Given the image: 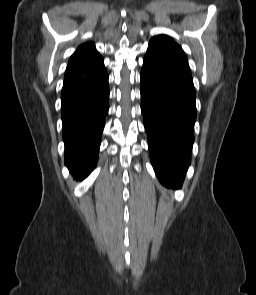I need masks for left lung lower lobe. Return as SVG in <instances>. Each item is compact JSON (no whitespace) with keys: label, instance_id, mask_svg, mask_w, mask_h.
<instances>
[{"label":"left lung lower lobe","instance_id":"1","mask_svg":"<svg viewBox=\"0 0 256 295\" xmlns=\"http://www.w3.org/2000/svg\"><path fill=\"white\" fill-rule=\"evenodd\" d=\"M193 82L143 64L141 111L160 182L181 185L191 162L196 119Z\"/></svg>","mask_w":256,"mask_h":295}]
</instances>
